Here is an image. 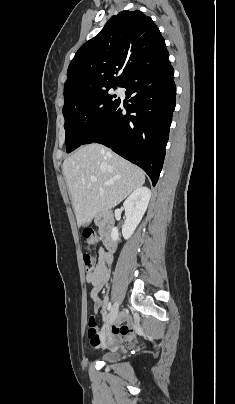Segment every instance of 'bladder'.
<instances>
[{
	"instance_id": "obj_1",
	"label": "bladder",
	"mask_w": 235,
	"mask_h": 404,
	"mask_svg": "<svg viewBox=\"0 0 235 404\" xmlns=\"http://www.w3.org/2000/svg\"><path fill=\"white\" fill-rule=\"evenodd\" d=\"M102 360L106 362H114L119 358V352L116 351H109L102 355Z\"/></svg>"
}]
</instances>
